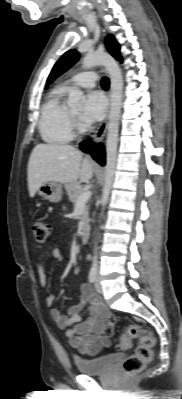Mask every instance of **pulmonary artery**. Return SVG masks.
<instances>
[{
  "instance_id": "e3ab8cb5",
  "label": "pulmonary artery",
  "mask_w": 182,
  "mask_h": 399,
  "mask_svg": "<svg viewBox=\"0 0 182 399\" xmlns=\"http://www.w3.org/2000/svg\"><path fill=\"white\" fill-rule=\"evenodd\" d=\"M98 81V75L94 71H86L74 75L65 86L70 88L72 86H78L82 88H93Z\"/></svg>"
}]
</instances>
